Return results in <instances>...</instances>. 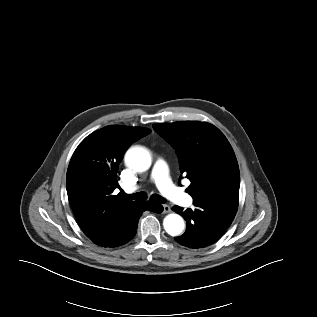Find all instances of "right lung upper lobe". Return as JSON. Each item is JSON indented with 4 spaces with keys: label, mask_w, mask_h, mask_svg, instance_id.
<instances>
[{
    "label": "right lung upper lobe",
    "mask_w": 317,
    "mask_h": 317,
    "mask_svg": "<svg viewBox=\"0 0 317 317\" xmlns=\"http://www.w3.org/2000/svg\"><path fill=\"white\" fill-rule=\"evenodd\" d=\"M150 132L142 127L107 126L79 144L66 178L70 206L79 223L92 217L114 222L136 203L112 192L119 187L118 165L125 151Z\"/></svg>",
    "instance_id": "cb5924a9"
}]
</instances>
